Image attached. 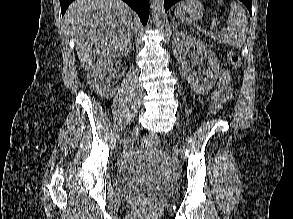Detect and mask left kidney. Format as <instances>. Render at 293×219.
Instances as JSON below:
<instances>
[{
  "label": "left kidney",
  "mask_w": 293,
  "mask_h": 219,
  "mask_svg": "<svg viewBox=\"0 0 293 219\" xmlns=\"http://www.w3.org/2000/svg\"><path fill=\"white\" fill-rule=\"evenodd\" d=\"M192 46H197L198 53L207 61V77L200 82L192 73L186 55ZM172 48L174 56L182 63L184 75L191 88L198 94L208 93L215 85L219 75V61L216 55L201 41L194 39L185 32H176L173 35Z\"/></svg>",
  "instance_id": "obj_1"
}]
</instances>
